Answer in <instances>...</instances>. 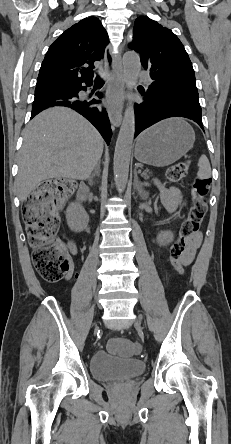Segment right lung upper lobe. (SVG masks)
Segmentation results:
<instances>
[{
	"label": "right lung upper lobe",
	"instance_id": "1",
	"mask_svg": "<svg viewBox=\"0 0 231 444\" xmlns=\"http://www.w3.org/2000/svg\"><path fill=\"white\" fill-rule=\"evenodd\" d=\"M108 43L106 30L96 17L71 26L49 47L35 92L91 81L94 62L102 59Z\"/></svg>",
	"mask_w": 231,
	"mask_h": 444
}]
</instances>
